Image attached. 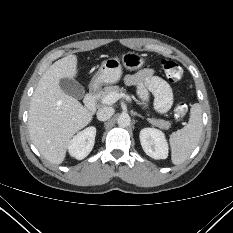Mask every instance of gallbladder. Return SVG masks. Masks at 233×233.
Segmentation results:
<instances>
[{"mask_svg":"<svg viewBox=\"0 0 233 233\" xmlns=\"http://www.w3.org/2000/svg\"><path fill=\"white\" fill-rule=\"evenodd\" d=\"M60 87L66 94L76 99H82L85 94L84 88L75 80L61 79Z\"/></svg>","mask_w":233,"mask_h":233,"instance_id":"gallbladder-1","label":"gallbladder"}]
</instances>
